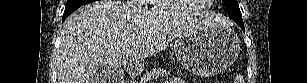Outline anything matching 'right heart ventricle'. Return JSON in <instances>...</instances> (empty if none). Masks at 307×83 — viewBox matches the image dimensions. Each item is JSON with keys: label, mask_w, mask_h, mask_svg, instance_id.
Wrapping results in <instances>:
<instances>
[{"label": "right heart ventricle", "mask_w": 307, "mask_h": 83, "mask_svg": "<svg viewBox=\"0 0 307 83\" xmlns=\"http://www.w3.org/2000/svg\"><path fill=\"white\" fill-rule=\"evenodd\" d=\"M152 7L159 10H168L169 1H152Z\"/></svg>", "instance_id": "obj_1"}]
</instances>
